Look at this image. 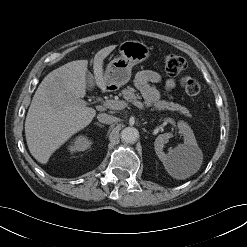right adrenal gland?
<instances>
[{"mask_svg": "<svg viewBox=\"0 0 247 247\" xmlns=\"http://www.w3.org/2000/svg\"><path fill=\"white\" fill-rule=\"evenodd\" d=\"M97 126H99V127H104L103 125H101L100 123H95Z\"/></svg>", "mask_w": 247, "mask_h": 247, "instance_id": "right-adrenal-gland-1", "label": "right adrenal gland"}]
</instances>
